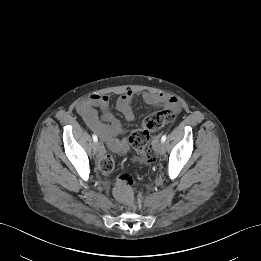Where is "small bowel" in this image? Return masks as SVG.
Segmentation results:
<instances>
[{
  "label": "small bowel",
  "instance_id": "1",
  "mask_svg": "<svg viewBox=\"0 0 261 261\" xmlns=\"http://www.w3.org/2000/svg\"><path fill=\"white\" fill-rule=\"evenodd\" d=\"M141 98L151 107L162 106L173 112H178L181 107L177 97L166 93H143ZM134 99L135 94L128 90L119 96L115 104L116 109L127 121L134 119L132 107ZM97 108L102 110L101 115H99ZM77 111L85 123L110 147L115 146V137L124 133L122 124L111 112L110 99L107 95L93 94L81 100L77 105Z\"/></svg>",
  "mask_w": 261,
  "mask_h": 261
}]
</instances>
